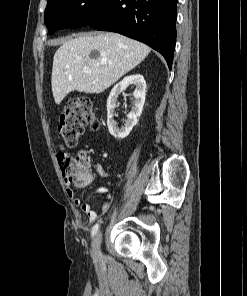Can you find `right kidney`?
<instances>
[{
	"label": "right kidney",
	"mask_w": 247,
	"mask_h": 296,
	"mask_svg": "<svg viewBox=\"0 0 247 296\" xmlns=\"http://www.w3.org/2000/svg\"><path fill=\"white\" fill-rule=\"evenodd\" d=\"M131 83H134L136 86V89L133 93L135 98L134 105L131 111L127 114V119L125 120L124 126L119 128L113 119L114 109L118 106L117 100L119 94L123 92ZM146 87L147 86L144 77L138 73L124 77L122 81L113 87L107 100V125L110 134L116 139H123L127 137L133 127L137 124L138 117L142 113L145 102Z\"/></svg>",
	"instance_id": "ca27d5eb"
}]
</instances>
